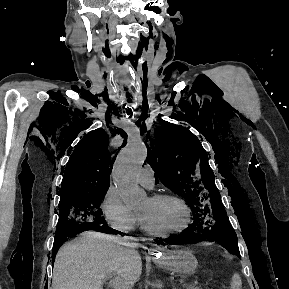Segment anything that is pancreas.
Returning <instances> with one entry per match:
<instances>
[{
	"instance_id": "obj_1",
	"label": "pancreas",
	"mask_w": 289,
	"mask_h": 289,
	"mask_svg": "<svg viewBox=\"0 0 289 289\" xmlns=\"http://www.w3.org/2000/svg\"><path fill=\"white\" fill-rule=\"evenodd\" d=\"M186 289H201L200 287H197V286H190V287H186Z\"/></svg>"
}]
</instances>
